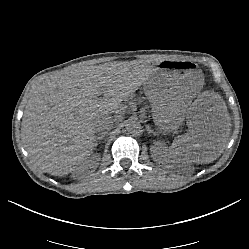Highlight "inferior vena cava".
<instances>
[{"instance_id": "obj_1", "label": "inferior vena cava", "mask_w": 249, "mask_h": 249, "mask_svg": "<svg viewBox=\"0 0 249 249\" xmlns=\"http://www.w3.org/2000/svg\"><path fill=\"white\" fill-rule=\"evenodd\" d=\"M113 127V121L111 116L106 115L94 123V128L96 132H103L106 134V131L110 130Z\"/></svg>"}]
</instances>
